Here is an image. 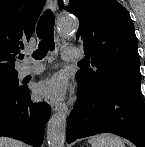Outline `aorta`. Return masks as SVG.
Segmentation results:
<instances>
[{
	"label": "aorta",
	"instance_id": "obj_1",
	"mask_svg": "<svg viewBox=\"0 0 145 147\" xmlns=\"http://www.w3.org/2000/svg\"><path fill=\"white\" fill-rule=\"evenodd\" d=\"M58 32L61 35H68L74 32L78 23L70 16L62 17L57 23ZM66 111L62 108L52 115L47 126V141L49 147H64L66 138Z\"/></svg>",
	"mask_w": 145,
	"mask_h": 147
}]
</instances>
